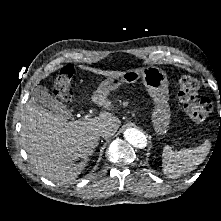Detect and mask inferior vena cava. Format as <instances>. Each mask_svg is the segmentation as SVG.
Instances as JSON below:
<instances>
[{
    "instance_id": "obj_1",
    "label": "inferior vena cava",
    "mask_w": 221,
    "mask_h": 221,
    "mask_svg": "<svg viewBox=\"0 0 221 221\" xmlns=\"http://www.w3.org/2000/svg\"><path fill=\"white\" fill-rule=\"evenodd\" d=\"M98 135L102 136V137H106L107 136V132L105 130H100Z\"/></svg>"
}]
</instances>
